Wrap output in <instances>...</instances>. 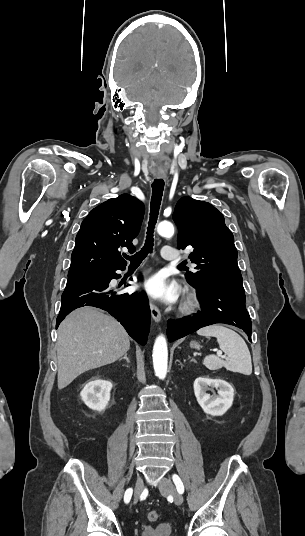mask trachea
Instances as JSON below:
<instances>
[{"instance_id": "1", "label": "trachea", "mask_w": 305, "mask_h": 536, "mask_svg": "<svg viewBox=\"0 0 305 536\" xmlns=\"http://www.w3.org/2000/svg\"><path fill=\"white\" fill-rule=\"evenodd\" d=\"M164 191V180L162 178H156L152 183V197L150 203V220L147 228V236L143 248L135 253V255H125L127 260L131 263H141L148 253H152L154 246V229L159 215V209L162 201V195ZM181 267L182 265H178Z\"/></svg>"}]
</instances>
